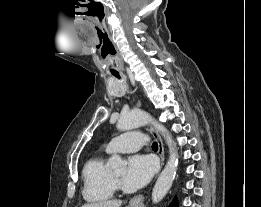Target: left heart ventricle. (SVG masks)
Listing matches in <instances>:
<instances>
[{"mask_svg":"<svg viewBox=\"0 0 261 207\" xmlns=\"http://www.w3.org/2000/svg\"><path fill=\"white\" fill-rule=\"evenodd\" d=\"M114 174L119 178L122 179L125 175V169H119L114 171Z\"/></svg>","mask_w":261,"mask_h":207,"instance_id":"1","label":"left heart ventricle"}]
</instances>
